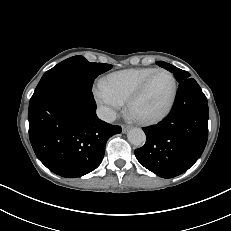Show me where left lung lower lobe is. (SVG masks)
Returning <instances> with one entry per match:
<instances>
[{
	"mask_svg": "<svg viewBox=\"0 0 231 231\" xmlns=\"http://www.w3.org/2000/svg\"><path fill=\"white\" fill-rule=\"evenodd\" d=\"M208 103L193 78L180 82L170 114L143 128L146 143L135 150L139 163L163 178L187 171L202 155L208 139Z\"/></svg>",
	"mask_w": 231,
	"mask_h": 231,
	"instance_id": "0a47b994",
	"label": "left lung lower lobe"
}]
</instances>
